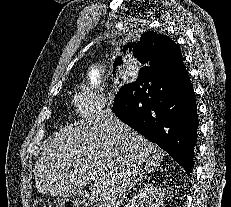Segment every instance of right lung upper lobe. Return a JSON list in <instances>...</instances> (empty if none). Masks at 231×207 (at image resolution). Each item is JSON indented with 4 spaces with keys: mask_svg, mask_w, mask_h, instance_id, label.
<instances>
[{
    "mask_svg": "<svg viewBox=\"0 0 231 207\" xmlns=\"http://www.w3.org/2000/svg\"><path fill=\"white\" fill-rule=\"evenodd\" d=\"M120 48L124 55L132 53L147 66L159 65L165 70L184 66L180 47L168 36L153 31L142 34L140 42L127 43ZM123 60L120 56L116 59L119 65Z\"/></svg>",
    "mask_w": 231,
    "mask_h": 207,
    "instance_id": "obj_1",
    "label": "right lung upper lobe"
}]
</instances>
